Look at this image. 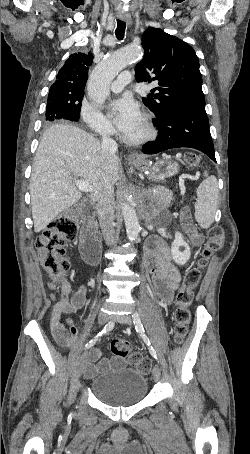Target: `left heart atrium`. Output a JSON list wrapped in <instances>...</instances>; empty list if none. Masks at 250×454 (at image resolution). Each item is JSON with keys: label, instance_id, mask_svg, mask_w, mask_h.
<instances>
[{"label": "left heart atrium", "instance_id": "1", "mask_svg": "<svg viewBox=\"0 0 250 454\" xmlns=\"http://www.w3.org/2000/svg\"><path fill=\"white\" fill-rule=\"evenodd\" d=\"M110 108L114 113L117 128L123 133L130 130L141 118L137 102L129 96L113 101Z\"/></svg>", "mask_w": 250, "mask_h": 454}]
</instances>
